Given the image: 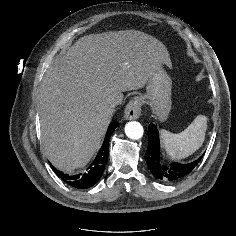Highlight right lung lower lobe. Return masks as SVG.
<instances>
[{
    "mask_svg": "<svg viewBox=\"0 0 236 236\" xmlns=\"http://www.w3.org/2000/svg\"><path fill=\"white\" fill-rule=\"evenodd\" d=\"M118 124H119L118 122L110 123L103 145L99 150L95 160L86 169V172L70 176L57 170L54 166L51 165L54 172L68 185L77 189L89 188L94 184H96L99 181L100 177L102 176L105 165L108 160L109 139L114 130L116 129V127L118 126Z\"/></svg>",
    "mask_w": 236,
    "mask_h": 236,
    "instance_id": "right-lung-lower-lobe-1",
    "label": "right lung lower lobe"
}]
</instances>
